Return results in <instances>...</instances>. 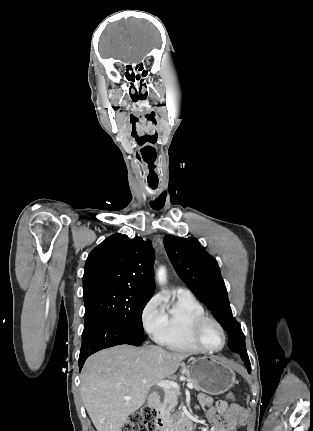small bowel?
<instances>
[{
    "label": "small bowel",
    "mask_w": 313,
    "mask_h": 431,
    "mask_svg": "<svg viewBox=\"0 0 313 431\" xmlns=\"http://www.w3.org/2000/svg\"><path fill=\"white\" fill-rule=\"evenodd\" d=\"M201 407L206 409V416L212 424L209 431H234L247 422L245 410L238 404L228 405L223 400L213 403L210 396L200 394L198 396Z\"/></svg>",
    "instance_id": "c3829d8e"
}]
</instances>
